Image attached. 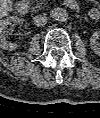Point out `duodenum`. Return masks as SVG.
I'll return each instance as SVG.
<instances>
[{"label":"duodenum","mask_w":100,"mask_h":118,"mask_svg":"<svg viewBox=\"0 0 100 118\" xmlns=\"http://www.w3.org/2000/svg\"><path fill=\"white\" fill-rule=\"evenodd\" d=\"M66 5L71 9H77L78 4L76 0H66ZM15 11L18 15H25L28 11V4L25 0H18L16 2Z\"/></svg>","instance_id":"1"}]
</instances>
